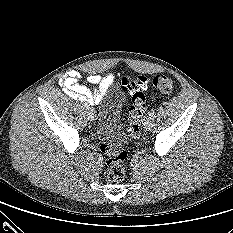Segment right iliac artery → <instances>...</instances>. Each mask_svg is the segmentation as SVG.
Returning a JSON list of instances; mask_svg holds the SVG:
<instances>
[{
	"mask_svg": "<svg viewBox=\"0 0 233 233\" xmlns=\"http://www.w3.org/2000/svg\"><path fill=\"white\" fill-rule=\"evenodd\" d=\"M83 109L88 110L89 109V105L88 104H83Z\"/></svg>",
	"mask_w": 233,
	"mask_h": 233,
	"instance_id": "right-iliac-artery-1",
	"label": "right iliac artery"
}]
</instances>
